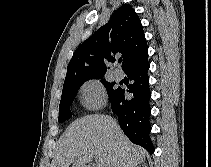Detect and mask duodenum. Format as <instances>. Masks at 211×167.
<instances>
[{"mask_svg":"<svg viewBox=\"0 0 211 167\" xmlns=\"http://www.w3.org/2000/svg\"><path fill=\"white\" fill-rule=\"evenodd\" d=\"M86 167H97L96 165H88Z\"/></svg>","mask_w":211,"mask_h":167,"instance_id":"duodenum-1","label":"duodenum"}]
</instances>
